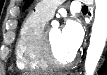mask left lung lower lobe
I'll return each mask as SVG.
<instances>
[{"label": "left lung lower lobe", "mask_w": 107, "mask_h": 75, "mask_svg": "<svg viewBox=\"0 0 107 75\" xmlns=\"http://www.w3.org/2000/svg\"><path fill=\"white\" fill-rule=\"evenodd\" d=\"M98 75H107V62L101 68V70L99 71Z\"/></svg>", "instance_id": "left-lung-lower-lobe-1"}]
</instances>
